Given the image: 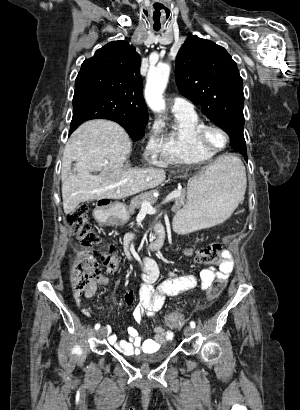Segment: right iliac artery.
Segmentation results:
<instances>
[{"mask_svg":"<svg viewBox=\"0 0 300 410\" xmlns=\"http://www.w3.org/2000/svg\"><path fill=\"white\" fill-rule=\"evenodd\" d=\"M94 328H95V330H98L100 328V324L97 323Z\"/></svg>","mask_w":300,"mask_h":410,"instance_id":"right-iliac-artery-1","label":"right iliac artery"}]
</instances>
